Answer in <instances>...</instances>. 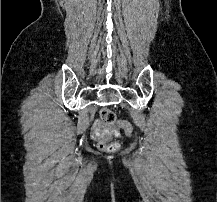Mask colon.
<instances>
[{
    "mask_svg": "<svg viewBox=\"0 0 217 202\" xmlns=\"http://www.w3.org/2000/svg\"><path fill=\"white\" fill-rule=\"evenodd\" d=\"M100 118L103 119L107 124H113L116 121V115L113 111L108 110V107H101V115ZM120 124L123 126V128H127L126 131L124 132L126 135H131L133 132V127L132 124L129 123L128 121H124L122 118L120 119ZM100 148L106 152H113L117 149V142H108V141H103L100 140Z\"/></svg>",
    "mask_w": 217,
    "mask_h": 202,
    "instance_id": "5ec220e1",
    "label": "colon"
}]
</instances>
